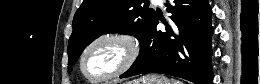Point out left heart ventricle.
<instances>
[{"label": "left heart ventricle", "instance_id": "obj_1", "mask_svg": "<svg viewBox=\"0 0 260 84\" xmlns=\"http://www.w3.org/2000/svg\"><path fill=\"white\" fill-rule=\"evenodd\" d=\"M125 51L115 42L104 41L96 45L87 55L85 70L94 78H101L118 68Z\"/></svg>", "mask_w": 260, "mask_h": 84}]
</instances>
